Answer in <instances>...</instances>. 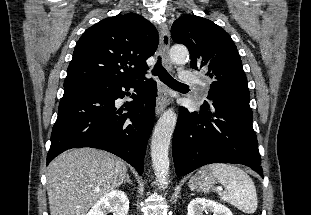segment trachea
Here are the masks:
<instances>
[{"instance_id": "trachea-1", "label": "trachea", "mask_w": 311, "mask_h": 215, "mask_svg": "<svg viewBox=\"0 0 311 215\" xmlns=\"http://www.w3.org/2000/svg\"><path fill=\"white\" fill-rule=\"evenodd\" d=\"M152 74L157 75L163 83L171 88L187 87L186 84L178 82L166 71V69L162 66L160 56L158 57V61L152 70Z\"/></svg>"}]
</instances>
